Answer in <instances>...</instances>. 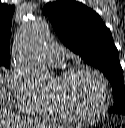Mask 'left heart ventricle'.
<instances>
[{
  "mask_svg": "<svg viewBox=\"0 0 125 128\" xmlns=\"http://www.w3.org/2000/svg\"><path fill=\"white\" fill-rule=\"evenodd\" d=\"M61 104L74 113L89 114L98 110L103 102L99 79L90 72H78L66 79L58 77L50 90Z\"/></svg>",
  "mask_w": 125,
  "mask_h": 128,
  "instance_id": "b2bd125f",
  "label": "left heart ventricle"
}]
</instances>
